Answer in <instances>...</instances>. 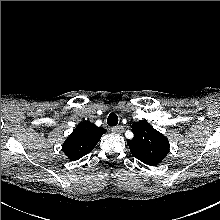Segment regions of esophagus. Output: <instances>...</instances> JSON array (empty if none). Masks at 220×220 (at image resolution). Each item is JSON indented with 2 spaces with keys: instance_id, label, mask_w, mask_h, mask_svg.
<instances>
[{
  "instance_id": "obj_1",
  "label": "esophagus",
  "mask_w": 220,
  "mask_h": 220,
  "mask_svg": "<svg viewBox=\"0 0 220 220\" xmlns=\"http://www.w3.org/2000/svg\"><path fill=\"white\" fill-rule=\"evenodd\" d=\"M112 131L114 133L121 134L124 132V127L123 126H115V127H112Z\"/></svg>"
}]
</instances>
